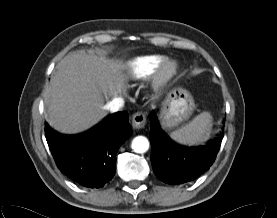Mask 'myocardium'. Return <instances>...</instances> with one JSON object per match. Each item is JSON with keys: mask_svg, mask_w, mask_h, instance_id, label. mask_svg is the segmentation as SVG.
Instances as JSON below:
<instances>
[{"mask_svg": "<svg viewBox=\"0 0 277 218\" xmlns=\"http://www.w3.org/2000/svg\"><path fill=\"white\" fill-rule=\"evenodd\" d=\"M178 71V64L172 59L164 60L155 70L152 77V88L159 92L163 90L175 77Z\"/></svg>", "mask_w": 277, "mask_h": 218, "instance_id": "myocardium-1", "label": "myocardium"}]
</instances>
